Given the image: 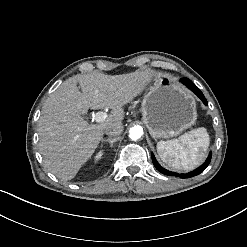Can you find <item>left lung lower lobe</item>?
I'll return each mask as SVG.
<instances>
[{
  "label": "left lung lower lobe",
  "mask_w": 247,
  "mask_h": 247,
  "mask_svg": "<svg viewBox=\"0 0 247 247\" xmlns=\"http://www.w3.org/2000/svg\"><path fill=\"white\" fill-rule=\"evenodd\" d=\"M180 81L184 85H186L190 90H192L203 101V103L205 105H207V101H206L203 93L201 92V90L190 79L182 78V79H180ZM211 157H212V154L210 153L204 164H202L200 167H198L196 170H194L192 172H189L187 174H181V175H179L178 173H174V172L168 171V170L164 169L163 167H161L158 164V162L156 161V159H155L153 154H152V161H153V164L156 167V169L159 172H161L162 174L170 175V176H177V177H180V178H190V177L196 176V175L200 174L201 172H203L207 168V166L209 165V163L211 161Z\"/></svg>",
  "instance_id": "0a47b994"
}]
</instances>
